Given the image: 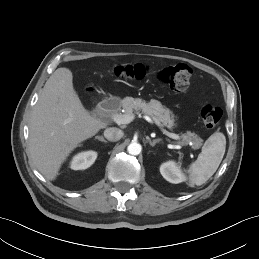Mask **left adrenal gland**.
Instances as JSON below:
<instances>
[{
  "instance_id": "obj_1",
  "label": "left adrenal gland",
  "mask_w": 259,
  "mask_h": 259,
  "mask_svg": "<svg viewBox=\"0 0 259 259\" xmlns=\"http://www.w3.org/2000/svg\"><path fill=\"white\" fill-rule=\"evenodd\" d=\"M147 140H148L149 145L152 146V147L155 146L156 143H159L161 141V139H155V140L151 141L150 138H147Z\"/></svg>"
}]
</instances>
